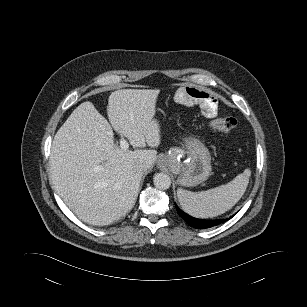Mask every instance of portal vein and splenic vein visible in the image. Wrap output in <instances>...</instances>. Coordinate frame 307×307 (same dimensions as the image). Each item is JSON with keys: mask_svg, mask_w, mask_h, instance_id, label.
<instances>
[{"mask_svg": "<svg viewBox=\"0 0 307 307\" xmlns=\"http://www.w3.org/2000/svg\"><path fill=\"white\" fill-rule=\"evenodd\" d=\"M120 147L124 150L128 149L129 143L123 137L120 139Z\"/></svg>", "mask_w": 307, "mask_h": 307, "instance_id": "obj_1", "label": "portal vein and splenic vein"}]
</instances>
